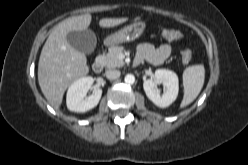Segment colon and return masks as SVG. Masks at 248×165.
Here are the masks:
<instances>
[{
    "instance_id": "obj_1",
    "label": "colon",
    "mask_w": 248,
    "mask_h": 165,
    "mask_svg": "<svg viewBox=\"0 0 248 165\" xmlns=\"http://www.w3.org/2000/svg\"><path fill=\"white\" fill-rule=\"evenodd\" d=\"M162 37L168 41H177L182 38V33L174 29H165L162 31ZM181 58L183 63L188 64L193 58L192 50L189 48L184 49L181 52Z\"/></svg>"
}]
</instances>
